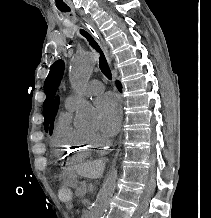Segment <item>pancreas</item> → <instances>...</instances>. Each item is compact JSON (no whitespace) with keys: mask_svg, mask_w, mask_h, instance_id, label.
<instances>
[{"mask_svg":"<svg viewBox=\"0 0 211 218\" xmlns=\"http://www.w3.org/2000/svg\"><path fill=\"white\" fill-rule=\"evenodd\" d=\"M76 195H87L86 188H83L82 190H76Z\"/></svg>","mask_w":211,"mask_h":218,"instance_id":"1","label":"pancreas"}]
</instances>
